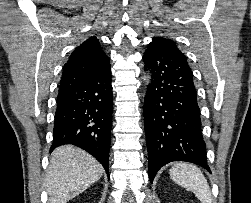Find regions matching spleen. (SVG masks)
Returning a JSON list of instances; mask_svg holds the SVG:
<instances>
[{"mask_svg":"<svg viewBox=\"0 0 251 203\" xmlns=\"http://www.w3.org/2000/svg\"><path fill=\"white\" fill-rule=\"evenodd\" d=\"M171 179L178 185L192 191L202 203H212L211 191L201 170L188 163H176L169 170Z\"/></svg>","mask_w":251,"mask_h":203,"instance_id":"obj_1","label":"spleen"}]
</instances>
